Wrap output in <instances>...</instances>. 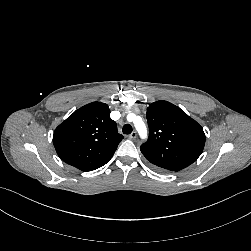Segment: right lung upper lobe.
I'll list each match as a JSON object with an SVG mask.
<instances>
[{
  "instance_id": "cb5924a9",
  "label": "right lung upper lobe",
  "mask_w": 251,
  "mask_h": 251,
  "mask_svg": "<svg viewBox=\"0 0 251 251\" xmlns=\"http://www.w3.org/2000/svg\"><path fill=\"white\" fill-rule=\"evenodd\" d=\"M122 139L108 105L93 102L76 110L55 129L53 144L64 162L92 171L112 158Z\"/></svg>"
}]
</instances>
